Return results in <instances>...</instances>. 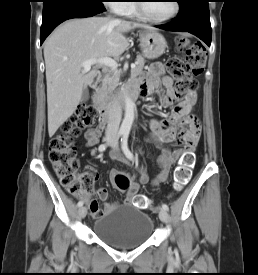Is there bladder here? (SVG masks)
Returning <instances> with one entry per match:
<instances>
[{"mask_svg": "<svg viewBox=\"0 0 258 275\" xmlns=\"http://www.w3.org/2000/svg\"><path fill=\"white\" fill-rule=\"evenodd\" d=\"M154 230L151 216L131 205H125L93 223V233L107 244L120 249L135 248L146 243Z\"/></svg>", "mask_w": 258, "mask_h": 275, "instance_id": "1", "label": "bladder"}]
</instances>
